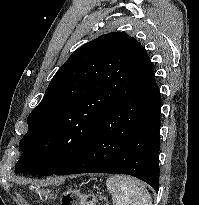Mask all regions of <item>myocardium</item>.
<instances>
[{"mask_svg":"<svg viewBox=\"0 0 199 205\" xmlns=\"http://www.w3.org/2000/svg\"><path fill=\"white\" fill-rule=\"evenodd\" d=\"M55 144H56V142L54 140H52V139L47 140L46 142L43 143L42 149L45 151L50 150L52 147L55 146Z\"/></svg>","mask_w":199,"mask_h":205,"instance_id":"myocardium-1","label":"myocardium"}]
</instances>
